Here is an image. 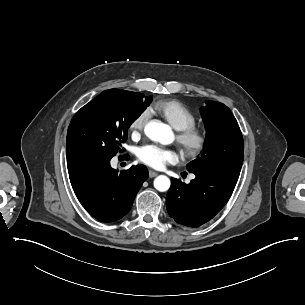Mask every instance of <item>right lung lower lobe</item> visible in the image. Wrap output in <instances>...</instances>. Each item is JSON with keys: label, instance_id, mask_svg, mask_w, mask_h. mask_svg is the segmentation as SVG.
Wrapping results in <instances>:
<instances>
[{"label": "right lung lower lobe", "instance_id": "1", "mask_svg": "<svg viewBox=\"0 0 305 305\" xmlns=\"http://www.w3.org/2000/svg\"><path fill=\"white\" fill-rule=\"evenodd\" d=\"M73 190L84 208L101 222H113L125 216L137 192L148 178L143 165L132 166L120 174L109 162H67Z\"/></svg>", "mask_w": 305, "mask_h": 305}]
</instances>
